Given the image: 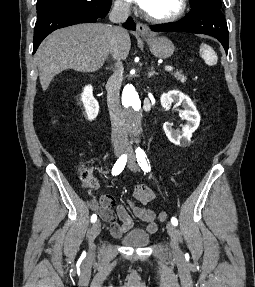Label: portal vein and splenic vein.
Listing matches in <instances>:
<instances>
[{
	"mask_svg": "<svg viewBox=\"0 0 255 287\" xmlns=\"http://www.w3.org/2000/svg\"><path fill=\"white\" fill-rule=\"evenodd\" d=\"M165 70H168V72H171L173 70L172 66H165Z\"/></svg>",
	"mask_w": 255,
	"mask_h": 287,
	"instance_id": "1",
	"label": "portal vein and splenic vein"
}]
</instances>
